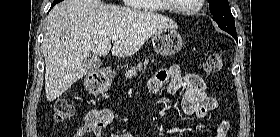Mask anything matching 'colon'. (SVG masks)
I'll return each instance as SVG.
<instances>
[{
    "label": "colon",
    "instance_id": "1",
    "mask_svg": "<svg viewBox=\"0 0 280 137\" xmlns=\"http://www.w3.org/2000/svg\"><path fill=\"white\" fill-rule=\"evenodd\" d=\"M223 57L218 53L208 55L204 62V70L208 75H214L220 72L223 68ZM73 115V106L68 100L60 98L54 105V120L63 122ZM230 129V123L221 124L217 128L216 137H226Z\"/></svg>",
    "mask_w": 280,
    "mask_h": 137
}]
</instances>
